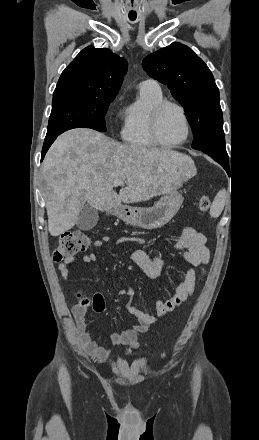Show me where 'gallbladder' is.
Instances as JSON below:
<instances>
[{
    "label": "gallbladder",
    "mask_w": 259,
    "mask_h": 440,
    "mask_svg": "<svg viewBox=\"0 0 259 440\" xmlns=\"http://www.w3.org/2000/svg\"><path fill=\"white\" fill-rule=\"evenodd\" d=\"M99 220L98 211L91 207L89 204H85L79 213L76 226L80 230H91L96 226Z\"/></svg>",
    "instance_id": "bac80fb5"
}]
</instances>
